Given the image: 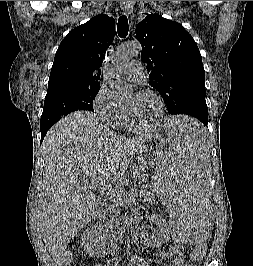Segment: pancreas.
<instances>
[{
	"mask_svg": "<svg viewBox=\"0 0 253 266\" xmlns=\"http://www.w3.org/2000/svg\"><path fill=\"white\" fill-rule=\"evenodd\" d=\"M139 181L141 183L140 185V192L141 197L143 201L151 202L153 201V193L148 190V187L146 186L147 183V176L145 173L139 172L138 174ZM118 191L120 192L119 195L116 193H109L108 201L111 202L107 205L105 210H102L101 212H104L103 218L106 221V224L109 226H113L117 222L118 214L120 213V206L125 205L129 202V197L131 194L125 193V191L122 188H119Z\"/></svg>",
	"mask_w": 253,
	"mask_h": 266,
	"instance_id": "pancreas-1",
	"label": "pancreas"
}]
</instances>
